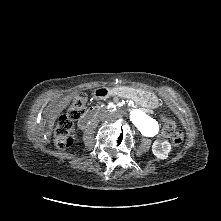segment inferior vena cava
Returning a JSON list of instances; mask_svg holds the SVG:
<instances>
[{
	"label": "inferior vena cava",
	"mask_w": 221,
	"mask_h": 221,
	"mask_svg": "<svg viewBox=\"0 0 221 221\" xmlns=\"http://www.w3.org/2000/svg\"><path fill=\"white\" fill-rule=\"evenodd\" d=\"M99 119H100V120L111 119V114H100V115H99Z\"/></svg>",
	"instance_id": "1"
}]
</instances>
